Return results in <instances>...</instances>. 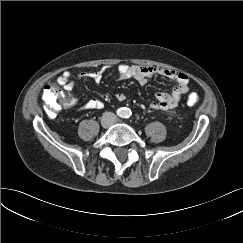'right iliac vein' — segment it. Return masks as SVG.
<instances>
[{
    "label": "right iliac vein",
    "instance_id": "1",
    "mask_svg": "<svg viewBox=\"0 0 243 243\" xmlns=\"http://www.w3.org/2000/svg\"><path fill=\"white\" fill-rule=\"evenodd\" d=\"M102 126L104 128H108L110 126V120L108 118H105L102 120Z\"/></svg>",
    "mask_w": 243,
    "mask_h": 243
}]
</instances>
